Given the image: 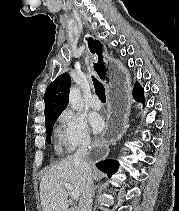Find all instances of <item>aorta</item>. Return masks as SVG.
<instances>
[{
    "label": "aorta",
    "mask_w": 179,
    "mask_h": 211,
    "mask_svg": "<svg viewBox=\"0 0 179 211\" xmlns=\"http://www.w3.org/2000/svg\"><path fill=\"white\" fill-rule=\"evenodd\" d=\"M69 104L73 110H81L83 108V103L81 100L80 90L76 87H72L69 93Z\"/></svg>",
    "instance_id": "obj_1"
}]
</instances>
